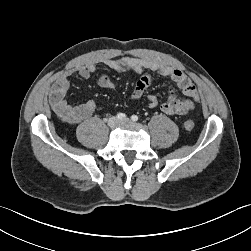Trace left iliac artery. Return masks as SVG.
I'll return each instance as SVG.
<instances>
[{
  "mask_svg": "<svg viewBox=\"0 0 251 251\" xmlns=\"http://www.w3.org/2000/svg\"><path fill=\"white\" fill-rule=\"evenodd\" d=\"M131 120L132 121H137L138 120V116L137 115H132L131 116Z\"/></svg>",
  "mask_w": 251,
  "mask_h": 251,
  "instance_id": "1",
  "label": "left iliac artery"
}]
</instances>
